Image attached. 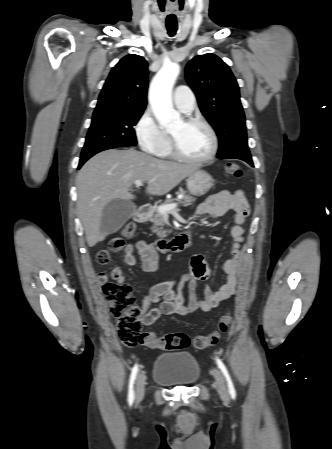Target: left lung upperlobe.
Returning a JSON list of instances; mask_svg holds the SVG:
<instances>
[{
	"label": "left lung upper lobe",
	"mask_w": 332,
	"mask_h": 449,
	"mask_svg": "<svg viewBox=\"0 0 332 449\" xmlns=\"http://www.w3.org/2000/svg\"><path fill=\"white\" fill-rule=\"evenodd\" d=\"M186 80L219 139V158H251L239 87L229 66L212 53L194 57Z\"/></svg>",
	"instance_id": "5c2ea615"
}]
</instances>
